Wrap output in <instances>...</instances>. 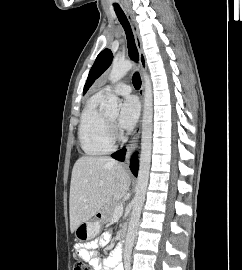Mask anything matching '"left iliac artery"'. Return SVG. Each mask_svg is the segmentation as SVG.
<instances>
[{
  "instance_id": "44dca946",
  "label": "left iliac artery",
  "mask_w": 242,
  "mask_h": 270,
  "mask_svg": "<svg viewBox=\"0 0 242 270\" xmlns=\"http://www.w3.org/2000/svg\"><path fill=\"white\" fill-rule=\"evenodd\" d=\"M125 270H130V266H126V269Z\"/></svg>"
}]
</instances>
